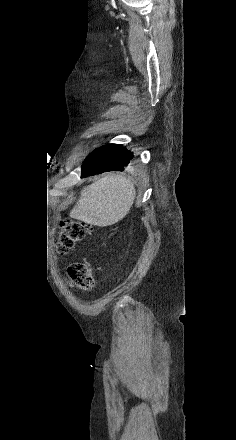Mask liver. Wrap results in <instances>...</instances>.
<instances>
[{
	"mask_svg": "<svg viewBox=\"0 0 236 440\" xmlns=\"http://www.w3.org/2000/svg\"><path fill=\"white\" fill-rule=\"evenodd\" d=\"M135 196L128 178L110 173L81 190L70 217L94 226H111L129 213Z\"/></svg>",
	"mask_w": 236,
	"mask_h": 440,
	"instance_id": "6515ba94",
	"label": "liver"
}]
</instances>
